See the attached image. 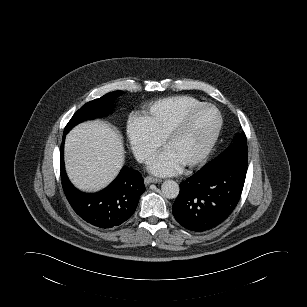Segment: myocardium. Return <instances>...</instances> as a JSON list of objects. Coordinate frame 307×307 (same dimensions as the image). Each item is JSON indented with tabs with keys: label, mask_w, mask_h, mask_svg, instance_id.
<instances>
[{
	"label": "myocardium",
	"mask_w": 307,
	"mask_h": 307,
	"mask_svg": "<svg viewBox=\"0 0 307 307\" xmlns=\"http://www.w3.org/2000/svg\"><path fill=\"white\" fill-rule=\"evenodd\" d=\"M203 108H208L213 110L216 115H217V124L216 127L212 133V135L210 136L209 140L207 141V143L205 144V146L203 147V149L191 160H189L188 162L184 163L183 166L186 168H192L195 167L199 164H201L202 162H204L208 156L211 154V152L213 151L221 129H222V125H223V118L221 115V112L219 111V109L214 106L213 104L210 103H198L190 108H188L180 117L179 119L176 121V123L169 129V131L165 134V136L162 139V143H163V147L165 148L166 145L175 137H177L186 127V124L189 120V118L192 116V114H194L196 111L203 109Z\"/></svg>",
	"instance_id": "f54148a6"
}]
</instances>
